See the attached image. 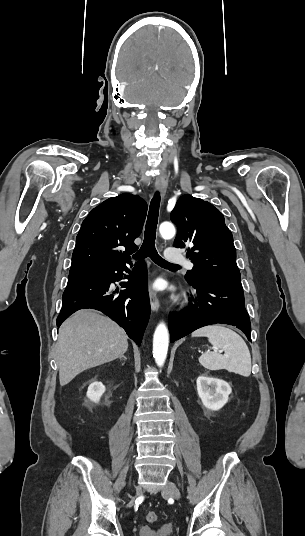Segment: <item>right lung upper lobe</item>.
I'll return each mask as SVG.
<instances>
[{
  "mask_svg": "<svg viewBox=\"0 0 305 536\" xmlns=\"http://www.w3.org/2000/svg\"><path fill=\"white\" fill-rule=\"evenodd\" d=\"M147 204L137 195L123 193L91 210L76 237L69 277L101 272L125 265L143 227ZM125 247L122 252L120 248Z\"/></svg>",
  "mask_w": 305,
  "mask_h": 536,
  "instance_id": "1",
  "label": "right lung upper lobe"
}]
</instances>
